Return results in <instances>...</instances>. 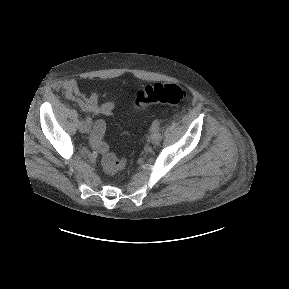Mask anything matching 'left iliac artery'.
Instances as JSON below:
<instances>
[{
  "instance_id": "obj_1",
  "label": "left iliac artery",
  "mask_w": 289,
  "mask_h": 289,
  "mask_svg": "<svg viewBox=\"0 0 289 289\" xmlns=\"http://www.w3.org/2000/svg\"><path fill=\"white\" fill-rule=\"evenodd\" d=\"M159 125H160L159 120H157V119L154 120L153 123H152V126H151V130H152V129H155V128H158Z\"/></svg>"
}]
</instances>
